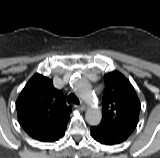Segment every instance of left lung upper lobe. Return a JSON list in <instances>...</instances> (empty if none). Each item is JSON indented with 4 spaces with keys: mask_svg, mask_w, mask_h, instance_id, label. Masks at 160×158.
I'll return each instance as SVG.
<instances>
[{
    "mask_svg": "<svg viewBox=\"0 0 160 158\" xmlns=\"http://www.w3.org/2000/svg\"><path fill=\"white\" fill-rule=\"evenodd\" d=\"M103 118L100 125L130 136L138 124L141 109L135 89L120 72L104 76Z\"/></svg>",
    "mask_w": 160,
    "mask_h": 158,
    "instance_id": "1",
    "label": "left lung upper lobe"
}]
</instances>
